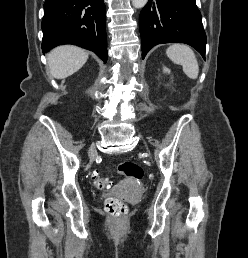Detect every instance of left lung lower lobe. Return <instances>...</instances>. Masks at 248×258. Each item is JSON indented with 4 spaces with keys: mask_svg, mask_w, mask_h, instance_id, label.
<instances>
[{
    "mask_svg": "<svg viewBox=\"0 0 248 258\" xmlns=\"http://www.w3.org/2000/svg\"><path fill=\"white\" fill-rule=\"evenodd\" d=\"M142 58L155 45L185 43L205 59L206 34L195 0H149L139 16Z\"/></svg>",
    "mask_w": 248,
    "mask_h": 258,
    "instance_id": "obj_1",
    "label": "left lung lower lobe"
}]
</instances>
